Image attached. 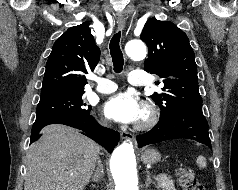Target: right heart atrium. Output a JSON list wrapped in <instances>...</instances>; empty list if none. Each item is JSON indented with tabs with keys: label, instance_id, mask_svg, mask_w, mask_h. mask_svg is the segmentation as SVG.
Wrapping results in <instances>:
<instances>
[{
	"label": "right heart atrium",
	"instance_id": "d8ad5b80",
	"mask_svg": "<svg viewBox=\"0 0 238 190\" xmlns=\"http://www.w3.org/2000/svg\"><path fill=\"white\" fill-rule=\"evenodd\" d=\"M101 124H102L103 126H108V125H109V123H108V121H107L106 119H102V120H101Z\"/></svg>",
	"mask_w": 238,
	"mask_h": 190
}]
</instances>
